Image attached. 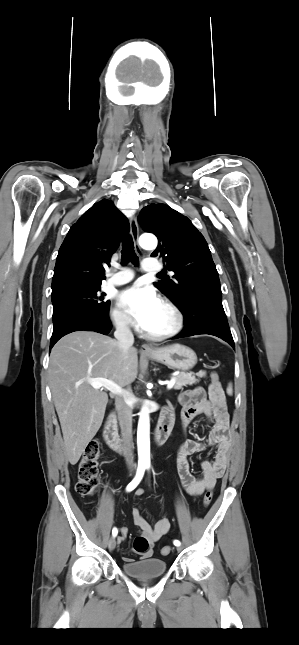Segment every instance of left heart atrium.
Masks as SVG:
<instances>
[{"label": "left heart atrium", "instance_id": "39dd6f15", "mask_svg": "<svg viewBox=\"0 0 299 645\" xmlns=\"http://www.w3.org/2000/svg\"><path fill=\"white\" fill-rule=\"evenodd\" d=\"M119 303L143 329L150 324L162 305L161 299L153 289L140 284L122 291Z\"/></svg>", "mask_w": 299, "mask_h": 645}]
</instances>
